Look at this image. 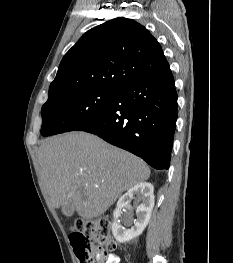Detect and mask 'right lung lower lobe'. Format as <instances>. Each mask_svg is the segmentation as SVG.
Returning <instances> with one entry per match:
<instances>
[{"instance_id":"98d812e1","label":"right lung lower lobe","mask_w":233,"mask_h":263,"mask_svg":"<svg viewBox=\"0 0 233 263\" xmlns=\"http://www.w3.org/2000/svg\"><path fill=\"white\" fill-rule=\"evenodd\" d=\"M177 120V93L171 70L117 90L99 115L76 127L168 169Z\"/></svg>"}]
</instances>
